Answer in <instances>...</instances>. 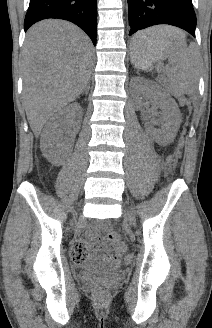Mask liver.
I'll return each instance as SVG.
<instances>
[{
  "mask_svg": "<svg viewBox=\"0 0 212 328\" xmlns=\"http://www.w3.org/2000/svg\"><path fill=\"white\" fill-rule=\"evenodd\" d=\"M92 65V42L76 25L48 19L28 30L22 54L23 96L35 136L52 114L86 89Z\"/></svg>",
  "mask_w": 212,
  "mask_h": 328,
  "instance_id": "obj_1",
  "label": "liver"
}]
</instances>
